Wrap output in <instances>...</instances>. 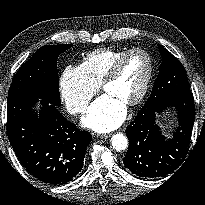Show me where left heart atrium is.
<instances>
[{"instance_id": "39dd6f15", "label": "left heart atrium", "mask_w": 205, "mask_h": 205, "mask_svg": "<svg viewBox=\"0 0 205 205\" xmlns=\"http://www.w3.org/2000/svg\"><path fill=\"white\" fill-rule=\"evenodd\" d=\"M125 115V105L105 93L91 104L82 122L94 131L109 132L122 124Z\"/></svg>"}]
</instances>
